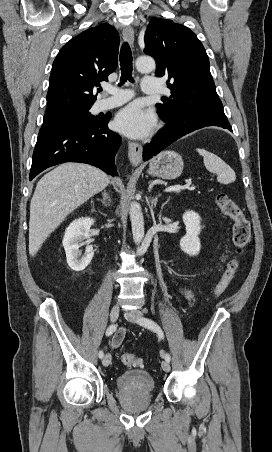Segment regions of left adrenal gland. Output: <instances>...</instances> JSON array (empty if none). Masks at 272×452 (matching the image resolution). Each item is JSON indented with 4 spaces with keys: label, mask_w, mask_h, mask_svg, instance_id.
Here are the masks:
<instances>
[{
    "label": "left adrenal gland",
    "mask_w": 272,
    "mask_h": 452,
    "mask_svg": "<svg viewBox=\"0 0 272 452\" xmlns=\"http://www.w3.org/2000/svg\"><path fill=\"white\" fill-rule=\"evenodd\" d=\"M160 197V194L156 195L154 198L149 197V199H147L148 203H150L151 207H156L157 202H158V198Z\"/></svg>",
    "instance_id": "left-adrenal-gland-1"
}]
</instances>
